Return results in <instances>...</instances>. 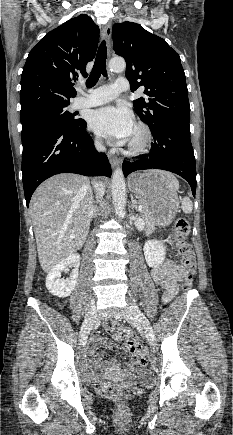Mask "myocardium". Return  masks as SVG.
<instances>
[{"mask_svg":"<svg viewBox=\"0 0 233 435\" xmlns=\"http://www.w3.org/2000/svg\"><path fill=\"white\" fill-rule=\"evenodd\" d=\"M134 130L138 132L139 138L127 143L126 151L130 155L143 153L152 142V132L149 127L143 123H136Z\"/></svg>","mask_w":233,"mask_h":435,"instance_id":"f54148a6","label":"myocardium"}]
</instances>
